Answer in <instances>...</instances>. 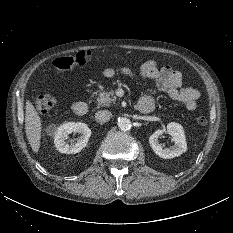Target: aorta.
<instances>
[{
  "instance_id": "1",
  "label": "aorta",
  "mask_w": 233,
  "mask_h": 233,
  "mask_svg": "<svg viewBox=\"0 0 233 233\" xmlns=\"http://www.w3.org/2000/svg\"><path fill=\"white\" fill-rule=\"evenodd\" d=\"M117 125L119 129L122 131H128L132 127V123L130 119L125 118V117L119 118Z\"/></svg>"
}]
</instances>
